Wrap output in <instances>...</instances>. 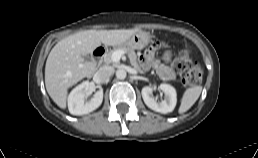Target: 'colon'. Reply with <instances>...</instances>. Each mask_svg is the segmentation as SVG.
Listing matches in <instances>:
<instances>
[{
	"label": "colon",
	"mask_w": 258,
	"mask_h": 158,
	"mask_svg": "<svg viewBox=\"0 0 258 158\" xmlns=\"http://www.w3.org/2000/svg\"><path fill=\"white\" fill-rule=\"evenodd\" d=\"M174 68L182 73L181 82L190 87L199 84L202 78V68L199 62L192 60L189 49L180 51L174 58Z\"/></svg>",
	"instance_id": "obj_1"
}]
</instances>
